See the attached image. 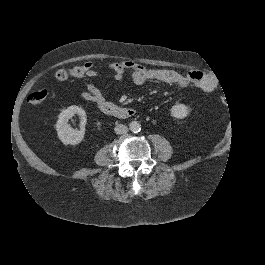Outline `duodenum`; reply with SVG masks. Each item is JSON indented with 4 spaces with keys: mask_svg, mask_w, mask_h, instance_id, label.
I'll return each mask as SVG.
<instances>
[{
    "mask_svg": "<svg viewBox=\"0 0 265 265\" xmlns=\"http://www.w3.org/2000/svg\"><path fill=\"white\" fill-rule=\"evenodd\" d=\"M98 108L106 115L126 119L132 117L136 112L133 108L122 107L110 102L98 103Z\"/></svg>",
    "mask_w": 265,
    "mask_h": 265,
    "instance_id": "duodenum-1",
    "label": "duodenum"
}]
</instances>
